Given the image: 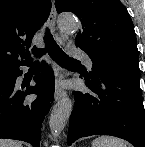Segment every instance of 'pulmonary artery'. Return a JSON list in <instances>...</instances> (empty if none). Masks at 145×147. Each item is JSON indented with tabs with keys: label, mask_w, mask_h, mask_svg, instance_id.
Segmentation results:
<instances>
[{
	"label": "pulmonary artery",
	"mask_w": 145,
	"mask_h": 147,
	"mask_svg": "<svg viewBox=\"0 0 145 147\" xmlns=\"http://www.w3.org/2000/svg\"><path fill=\"white\" fill-rule=\"evenodd\" d=\"M72 55H73V57L78 58V59H81L82 61H84L85 64L89 68H92L93 62H92L91 58L89 57V55L86 54L85 52H82V51H74L72 53Z\"/></svg>",
	"instance_id": "1"
}]
</instances>
